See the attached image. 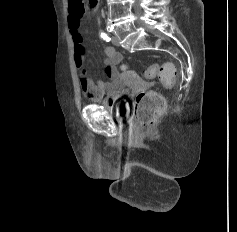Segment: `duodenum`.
<instances>
[{
	"mask_svg": "<svg viewBox=\"0 0 237 232\" xmlns=\"http://www.w3.org/2000/svg\"><path fill=\"white\" fill-rule=\"evenodd\" d=\"M89 4L94 7L97 4V0H89Z\"/></svg>",
	"mask_w": 237,
	"mask_h": 232,
	"instance_id": "obj_1",
	"label": "duodenum"
}]
</instances>
